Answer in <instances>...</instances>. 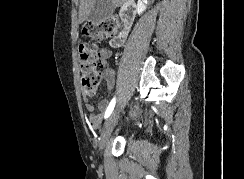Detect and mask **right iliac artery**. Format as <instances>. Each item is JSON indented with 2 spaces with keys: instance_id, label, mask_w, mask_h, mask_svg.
I'll list each match as a JSON object with an SVG mask.
<instances>
[{
  "instance_id": "1",
  "label": "right iliac artery",
  "mask_w": 244,
  "mask_h": 179,
  "mask_svg": "<svg viewBox=\"0 0 244 179\" xmlns=\"http://www.w3.org/2000/svg\"><path fill=\"white\" fill-rule=\"evenodd\" d=\"M115 103H116V99L113 98L105 112V118H108L110 116V114L112 113V111L115 107Z\"/></svg>"
}]
</instances>
